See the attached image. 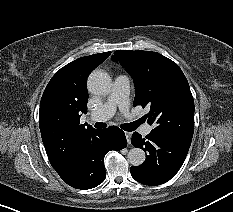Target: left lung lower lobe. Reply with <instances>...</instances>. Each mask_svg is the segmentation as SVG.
<instances>
[{
    "instance_id": "1",
    "label": "left lung lower lobe",
    "mask_w": 233,
    "mask_h": 212,
    "mask_svg": "<svg viewBox=\"0 0 233 212\" xmlns=\"http://www.w3.org/2000/svg\"><path fill=\"white\" fill-rule=\"evenodd\" d=\"M131 142L148 153L143 164L130 169L132 177L145 185L163 184L174 177L191 144V140L152 132L146 138L134 132Z\"/></svg>"
}]
</instances>
